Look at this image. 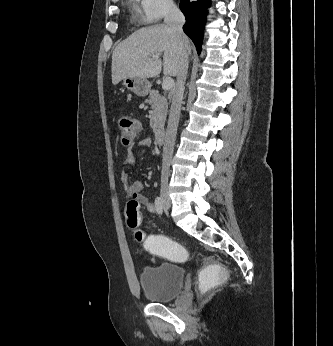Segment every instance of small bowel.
Instances as JSON below:
<instances>
[{
    "label": "small bowel",
    "instance_id": "1",
    "mask_svg": "<svg viewBox=\"0 0 333 346\" xmlns=\"http://www.w3.org/2000/svg\"><path fill=\"white\" fill-rule=\"evenodd\" d=\"M152 143L150 138H140L136 141L135 145L138 147H147ZM137 161V158L134 154V146L128 148L127 156L124 161L127 165H133ZM121 180L124 185V191L126 195L130 198H135L147 211L155 212V205L141 193L143 185L140 181L134 180L131 181L130 174L126 171L122 172ZM145 248V247H144Z\"/></svg>",
    "mask_w": 333,
    "mask_h": 346
}]
</instances>
